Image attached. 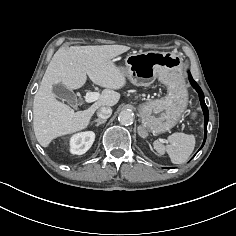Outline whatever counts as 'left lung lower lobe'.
<instances>
[{
  "mask_svg": "<svg viewBox=\"0 0 236 236\" xmlns=\"http://www.w3.org/2000/svg\"><path fill=\"white\" fill-rule=\"evenodd\" d=\"M188 76H189V81L191 83V85L193 86V88L198 92L199 94V99H200V104H201V107L203 109V112H204V130H205V137H204V141H203V144L201 146V148L203 147L205 141H206V135H207V123H208V119H209V112H208V108L205 104V101H204V94L201 90V88L199 87V85L193 80L190 72L188 71ZM200 148V149H201ZM199 149V150H200Z\"/></svg>",
  "mask_w": 236,
  "mask_h": 236,
  "instance_id": "0a47b994",
  "label": "left lung lower lobe"
}]
</instances>
